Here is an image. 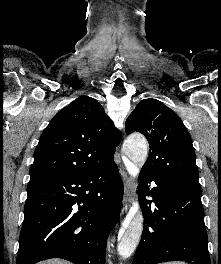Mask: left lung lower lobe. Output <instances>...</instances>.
<instances>
[{
	"label": "left lung lower lobe",
	"instance_id": "1",
	"mask_svg": "<svg viewBox=\"0 0 221 264\" xmlns=\"http://www.w3.org/2000/svg\"><path fill=\"white\" fill-rule=\"evenodd\" d=\"M139 193L144 228L132 264L186 261L210 264L201 190L141 170ZM155 183L150 190L149 184ZM153 200H146V196ZM154 202L155 208L151 207Z\"/></svg>",
	"mask_w": 221,
	"mask_h": 264
}]
</instances>
